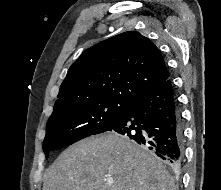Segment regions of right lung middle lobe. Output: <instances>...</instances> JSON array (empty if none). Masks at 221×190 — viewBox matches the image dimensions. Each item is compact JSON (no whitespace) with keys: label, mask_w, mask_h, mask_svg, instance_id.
I'll list each match as a JSON object with an SVG mask.
<instances>
[{"label":"right lung middle lobe","mask_w":221,"mask_h":190,"mask_svg":"<svg viewBox=\"0 0 221 190\" xmlns=\"http://www.w3.org/2000/svg\"><path fill=\"white\" fill-rule=\"evenodd\" d=\"M128 103L119 99H101L53 111L43 142L46 157L50 151L111 130L123 117Z\"/></svg>","instance_id":"obj_1"}]
</instances>
